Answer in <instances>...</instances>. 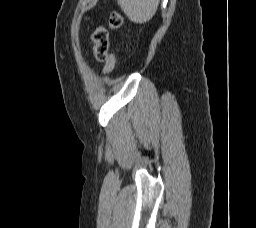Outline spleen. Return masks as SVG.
<instances>
[{
    "label": "spleen",
    "instance_id": "3e777b00",
    "mask_svg": "<svg viewBox=\"0 0 256 228\" xmlns=\"http://www.w3.org/2000/svg\"><path fill=\"white\" fill-rule=\"evenodd\" d=\"M130 21L143 24L155 15L159 0H117Z\"/></svg>",
    "mask_w": 256,
    "mask_h": 228
}]
</instances>
